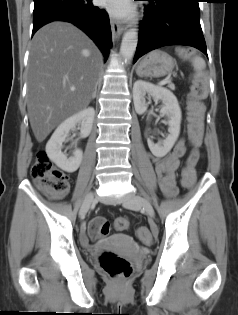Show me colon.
I'll return each instance as SVG.
<instances>
[{"label":"colon","mask_w":238,"mask_h":315,"mask_svg":"<svg viewBox=\"0 0 238 315\" xmlns=\"http://www.w3.org/2000/svg\"><path fill=\"white\" fill-rule=\"evenodd\" d=\"M182 55L186 58L193 56L191 51H183ZM207 87L204 80H198L191 92L188 111L189 125L188 135L193 146H199L203 134L204 106L201 100L206 96ZM32 178L37 182L39 187L52 196H62L69 189V178L66 173L58 169L45 152L37 155L36 161L31 167ZM194 178L184 170L182 173V183L185 187H190ZM118 230H126L129 227V221L126 218H119L115 222ZM109 222L102 217L93 218L88 226L89 235L92 238H101L109 233ZM137 236L146 241L150 239L149 231L146 227L137 230ZM101 268L110 278L116 281L127 279L132 273L131 263L125 258L113 252H104L99 258Z\"/></svg>","instance_id":"colon-1"}]
</instances>
